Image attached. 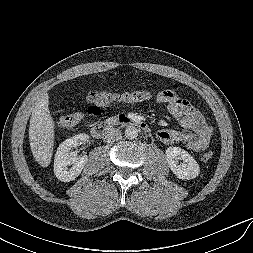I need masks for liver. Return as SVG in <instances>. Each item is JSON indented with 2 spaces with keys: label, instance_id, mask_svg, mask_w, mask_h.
<instances>
[{
  "label": "liver",
  "instance_id": "6515ba94",
  "mask_svg": "<svg viewBox=\"0 0 253 253\" xmlns=\"http://www.w3.org/2000/svg\"><path fill=\"white\" fill-rule=\"evenodd\" d=\"M49 96L43 94L35 105L29 125V141L35 160L42 167H48L55 140V124L49 111Z\"/></svg>",
  "mask_w": 253,
  "mask_h": 253
}]
</instances>
